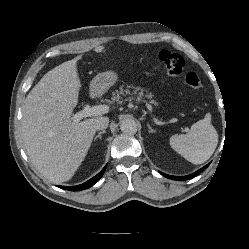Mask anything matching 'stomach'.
<instances>
[{
    "instance_id": "0dacf381",
    "label": "stomach",
    "mask_w": 249,
    "mask_h": 249,
    "mask_svg": "<svg viewBox=\"0 0 249 249\" xmlns=\"http://www.w3.org/2000/svg\"><path fill=\"white\" fill-rule=\"evenodd\" d=\"M118 80V75L114 71L99 73L91 81V90L96 93H103L113 86Z\"/></svg>"
}]
</instances>
